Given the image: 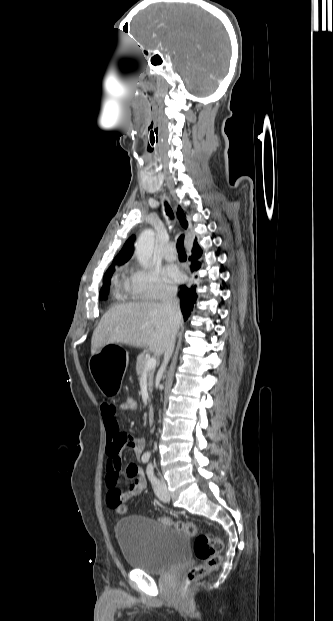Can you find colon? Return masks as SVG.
Instances as JSON below:
<instances>
[{
  "label": "colon",
  "instance_id": "1",
  "mask_svg": "<svg viewBox=\"0 0 333 621\" xmlns=\"http://www.w3.org/2000/svg\"><path fill=\"white\" fill-rule=\"evenodd\" d=\"M120 405L122 410L126 412H135L138 408L137 399L132 393L122 395ZM115 511L119 514H124L126 512L125 504H118ZM160 521L174 526L190 537H195L194 553L201 563L187 572L186 587L195 580L201 579L219 568L222 560L221 552L223 550V542L219 537L211 533H199L198 527L191 522L174 521L168 517H162Z\"/></svg>",
  "mask_w": 333,
  "mask_h": 621
}]
</instances>
